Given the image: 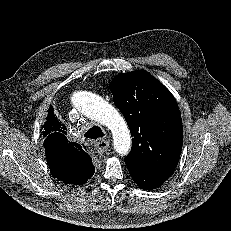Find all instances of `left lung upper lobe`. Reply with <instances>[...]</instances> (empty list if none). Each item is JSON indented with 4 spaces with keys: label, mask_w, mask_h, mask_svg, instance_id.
<instances>
[{
    "label": "left lung upper lobe",
    "mask_w": 231,
    "mask_h": 231,
    "mask_svg": "<svg viewBox=\"0 0 231 231\" xmlns=\"http://www.w3.org/2000/svg\"><path fill=\"white\" fill-rule=\"evenodd\" d=\"M114 104L123 114L132 139L125 162L134 166L175 168L183 127L170 91L144 70L117 75L111 82Z\"/></svg>",
    "instance_id": "1"
}]
</instances>
